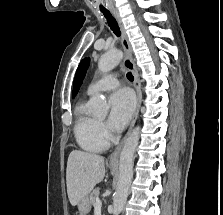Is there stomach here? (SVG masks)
<instances>
[{
  "mask_svg": "<svg viewBox=\"0 0 223 215\" xmlns=\"http://www.w3.org/2000/svg\"><path fill=\"white\" fill-rule=\"evenodd\" d=\"M112 171H115V167H111ZM88 195H85V197H82L78 203V209L80 213H88L91 209L90 202H88L86 199Z\"/></svg>",
  "mask_w": 223,
  "mask_h": 215,
  "instance_id": "0dacf381",
  "label": "stomach"
}]
</instances>
